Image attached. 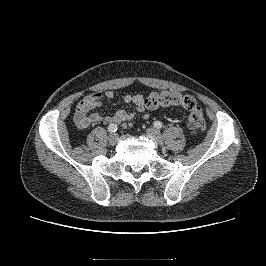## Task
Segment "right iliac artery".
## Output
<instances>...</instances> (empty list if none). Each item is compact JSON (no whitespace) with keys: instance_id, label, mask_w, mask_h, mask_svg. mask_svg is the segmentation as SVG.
<instances>
[{"instance_id":"1","label":"right iliac artery","mask_w":266,"mask_h":266,"mask_svg":"<svg viewBox=\"0 0 266 266\" xmlns=\"http://www.w3.org/2000/svg\"><path fill=\"white\" fill-rule=\"evenodd\" d=\"M117 129H118V126H117V124H115V123H111V124L108 126V131H109L110 133H114V132H116Z\"/></svg>"}]
</instances>
